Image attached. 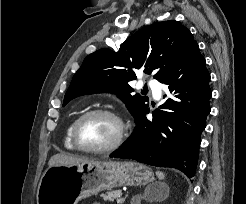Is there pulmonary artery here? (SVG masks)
Segmentation results:
<instances>
[{"label":"pulmonary artery","mask_w":246,"mask_h":204,"mask_svg":"<svg viewBox=\"0 0 246 204\" xmlns=\"http://www.w3.org/2000/svg\"><path fill=\"white\" fill-rule=\"evenodd\" d=\"M148 86L152 90L153 96L156 99H159L161 97V94H162V85L155 80H151V81H149Z\"/></svg>","instance_id":"e3ab8cb5"}]
</instances>
